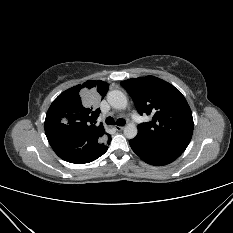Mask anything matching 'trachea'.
Returning a JSON list of instances; mask_svg holds the SVG:
<instances>
[{
  "label": "trachea",
  "mask_w": 233,
  "mask_h": 233,
  "mask_svg": "<svg viewBox=\"0 0 233 233\" xmlns=\"http://www.w3.org/2000/svg\"><path fill=\"white\" fill-rule=\"evenodd\" d=\"M126 121L123 118H119L116 122L112 117L106 118V124L108 125H118V126H124Z\"/></svg>",
  "instance_id": "3493384b"
}]
</instances>
